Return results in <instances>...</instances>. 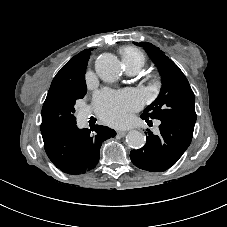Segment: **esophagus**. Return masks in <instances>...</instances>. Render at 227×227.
I'll use <instances>...</instances> for the list:
<instances>
[{
  "mask_svg": "<svg viewBox=\"0 0 227 227\" xmlns=\"http://www.w3.org/2000/svg\"><path fill=\"white\" fill-rule=\"evenodd\" d=\"M127 134V131L119 130L117 131V135L119 136H125Z\"/></svg>",
  "mask_w": 227,
  "mask_h": 227,
  "instance_id": "1",
  "label": "esophagus"
}]
</instances>
